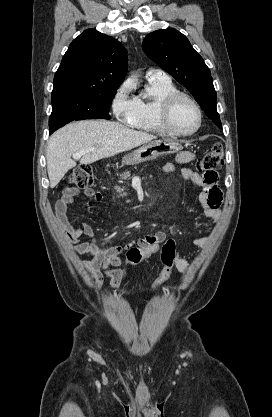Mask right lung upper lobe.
<instances>
[{
    "label": "right lung upper lobe",
    "mask_w": 272,
    "mask_h": 417,
    "mask_svg": "<svg viewBox=\"0 0 272 417\" xmlns=\"http://www.w3.org/2000/svg\"><path fill=\"white\" fill-rule=\"evenodd\" d=\"M127 72L125 48L113 37L87 29L72 41L54 77L52 94L118 88Z\"/></svg>",
    "instance_id": "obj_1"
}]
</instances>
